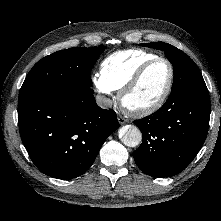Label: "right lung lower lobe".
I'll list each match as a JSON object with an SVG mask.
<instances>
[{
    "label": "right lung lower lobe",
    "mask_w": 221,
    "mask_h": 221,
    "mask_svg": "<svg viewBox=\"0 0 221 221\" xmlns=\"http://www.w3.org/2000/svg\"><path fill=\"white\" fill-rule=\"evenodd\" d=\"M18 123L33 163L59 179L82 175L119 127L116 113L101 109L90 88L19 95Z\"/></svg>",
    "instance_id": "right-lung-lower-lobe-1"
}]
</instances>
